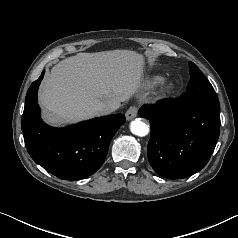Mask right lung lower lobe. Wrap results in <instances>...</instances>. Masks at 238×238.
Returning a JSON list of instances; mask_svg holds the SVG:
<instances>
[{
    "label": "right lung lower lobe",
    "mask_w": 238,
    "mask_h": 238,
    "mask_svg": "<svg viewBox=\"0 0 238 238\" xmlns=\"http://www.w3.org/2000/svg\"><path fill=\"white\" fill-rule=\"evenodd\" d=\"M44 72L34 81L25 98L21 127L32 159L63 180H78L94 174L103 164L111 139L125 123L123 114L54 128L40 117L37 91Z\"/></svg>",
    "instance_id": "obj_1"
}]
</instances>
